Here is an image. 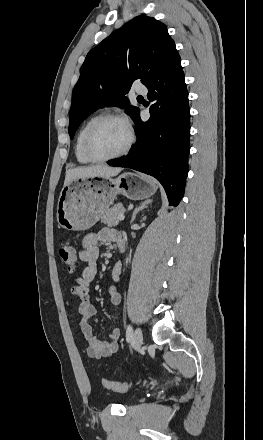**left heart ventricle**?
Returning <instances> with one entry per match:
<instances>
[{
    "label": "left heart ventricle",
    "instance_id": "b2bd125f",
    "mask_svg": "<svg viewBox=\"0 0 263 440\" xmlns=\"http://www.w3.org/2000/svg\"><path fill=\"white\" fill-rule=\"evenodd\" d=\"M127 140L125 127L116 121L102 124L93 137V149L100 155H110L119 151Z\"/></svg>",
    "mask_w": 263,
    "mask_h": 440
}]
</instances>
